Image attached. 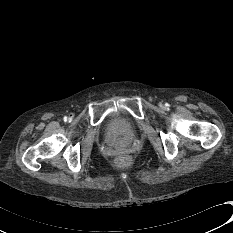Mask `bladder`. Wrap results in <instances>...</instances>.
I'll return each instance as SVG.
<instances>
[{"label": "bladder", "mask_w": 233, "mask_h": 233, "mask_svg": "<svg viewBox=\"0 0 233 233\" xmlns=\"http://www.w3.org/2000/svg\"><path fill=\"white\" fill-rule=\"evenodd\" d=\"M104 132L109 140L117 145H126L135 134V126L121 115H112L108 118Z\"/></svg>", "instance_id": "obj_1"}]
</instances>
